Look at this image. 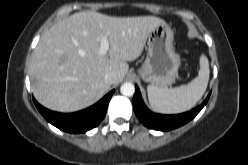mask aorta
Segmentation results:
<instances>
[{"instance_id": "1", "label": "aorta", "mask_w": 248, "mask_h": 165, "mask_svg": "<svg viewBox=\"0 0 248 165\" xmlns=\"http://www.w3.org/2000/svg\"><path fill=\"white\" fill-rule=\"evenodd\" d=\"M120 92L124 96H132L135 93V86L130 82H126L121 85Z\"/></svg>"}]
</instances>
